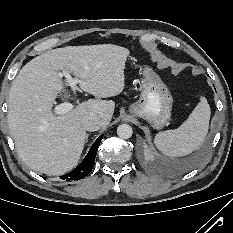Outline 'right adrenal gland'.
I'll list each match as a JSON object with an SVG mask.
<instances>
[{
  "mask_svg": "<svg viewBox=\"0 0 233 233\" xmlns=\"http://www.w3.org/2000/svg\"><path fill=\"white\" fill-rule=\"evenodd\" d=\"M88 136H89V134H87V137H86V141H85V142H87V138H88Z\"/></svg>",
  "mask_w": 233,
  "mask_h": 233,
  "instance_id": "1",
  "label": "right adrenal gland"
}]
</instances>
